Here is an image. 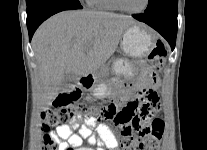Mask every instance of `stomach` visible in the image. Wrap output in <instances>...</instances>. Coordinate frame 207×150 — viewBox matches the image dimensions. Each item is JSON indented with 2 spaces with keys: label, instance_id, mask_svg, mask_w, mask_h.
<instances>
[{
  "label": "stomach",
  "instance_id": "stomach-1",
  "mask_svg": "<svg viewBox=\"0 0 207 150\" xmlns=\"http://www.w3.org/2000/svg\"><path fill=\"white\" fill-rule=\"evenodd\" d=\"M155 33L143 24H134L127 28L121 41L123 58H116L113 61V71L120 75H127L133 78L137 74V68H128L130 58L141 60L149 55L155 45ZM127 57V58H126ZM128 70V71H127ZM119 83L109 80H100L91 88V93L97 98H108L117 94Z\"/></svg>",
  "mask_w": 207,
  "mask_h": 150
}]
</instances>
